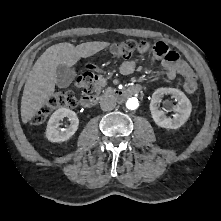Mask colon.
I'll return each mask as SVG.
<instances>
[{
  "label": "colon",
  "mask_w": 221,
  "mask_h": 221,
  "mask_svg": "<svg viewBox=\"0 0 221 221\" xmlns=\"http://www.w3.org/2000/svg\"><path fill=\"white\" fill-rule=\"evenodd\" d=\"M138 47L139 43L136 40L126 39L113 44L110 51L119 59H129ZM95 83L96 77L92 73L86 72L77 79L76 87L81 90L83 94H87L92 91ZM183 86L190 94H196L199 91L198 82L194 75L185 77ZM78 102L79 98L71 91L56 92L44 103L41 109L35 113L32 122L34 124H42L53 110L74 107Z\"/></svg>",
  "instance_id": "colon-1"
}]
</instances>
